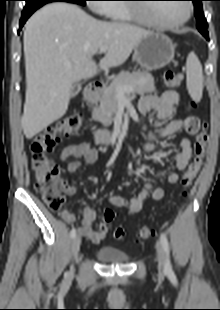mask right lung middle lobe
<instances>
[{
  "label": "right lung middle lobe",
  "mask_w": 220,
  "mask_h": 310,
  "mask_svg": "<svg viewBox=\"0 0 220 310\" xmlns=\"http://www.w3.org/2000/svg\"><path fill=\"white\" fill-rule=\"evenodd\" d=\"M55 0H26V5L25 6H37L41 5L44 3H49ZM74 3L80 4V5H85L86 0H70Z\"/></svg>",
  "instance_id": "right-lung-middle-lobe-1"
}]
</instances>
